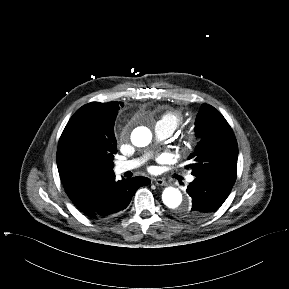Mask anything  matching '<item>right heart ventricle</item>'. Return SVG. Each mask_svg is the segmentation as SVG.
Returning <instances> with one entry per match:
<instances>
[{
  "instance_id": "e07e8e85",
  "label": "right heart ventricle",
  "mask_w": 289,
  "mask_h": 289,
  "mask_svg": "<svg viewBox=\"0 0 289 289\" xmlns=\"http://www.w3.org/2000/svg\"><path fill=\"white\" fill-rule=\"evenodd\" d=\"M183 120L184 116L181 111L172 110L165 112L159 121L167 124L174 131L182 124Z\"/></svg>"
}]
</instances>
